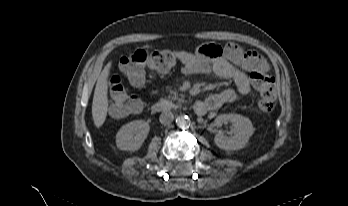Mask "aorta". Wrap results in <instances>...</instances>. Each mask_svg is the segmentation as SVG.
Listing matches in <instances>:
<instances>
[{
	"instance_id": "aorta-1",
	"label": "aorta",
	"mask_w": 348,
	"mask_h": 206,
	"mask_svg": "<svg viewBox=\"0 0 348 206\" xmlns=\"http://www.w3.org/2000/svg\"><path fill=\"white\" fill-rule=\"evenodd\" d=\"M190 124V119L186 115H180L176 118V126L178 128H186Z\"/></svg>"
}]
</instances>
